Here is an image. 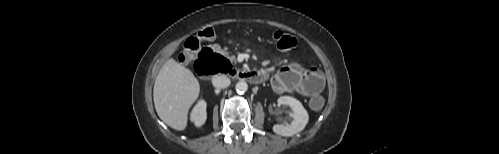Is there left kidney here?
Masks as SVG:
<instances>
[{
	"mask_svg": "<svg viewBox=\"0 0 499 154\" xmlns=\"http://www.w3.org/2000/svg\"><path fill=\"white\" fill-rule=\"evenodd\" d=\"M278 106L284 105L292 110V122L290 124H276L273 131L282 136H293L302 131L309 120V115L301 102L291 96H281L278 98Z\"/></svg>",
	"mask_w": 499,
	"mask_h": 154,
	"instance_id": "obj_1",
	"label": "left kidney"
}]
</instances>
